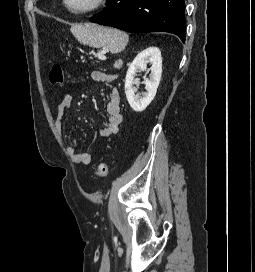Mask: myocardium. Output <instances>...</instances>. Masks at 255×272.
Returning <instances> with one entry per match:
<instances>
[{"instance_id":"f54148a6","label":"myocardium","mask_w":255,"mask_h":272,"mask_svg":"<svg viewBox=\"0 0 255 272\" xmlns=\"http://www.w3.org/2000/svg\"><path fill=\"white\" fill-rule=\"evenodd\" d=\"M107 0H95L93 2V4L89 7L83 8V9H76L73 8L70 4H69V0H62L63 5L65 6V8L75 14V15H85V14H89V13H93L96 12L98 10H100L102 7L105 6Z\"/></svg>"}]
</instances>
